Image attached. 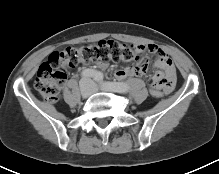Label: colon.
<instances>
[{
  "instance_id": "1",
  "label": "colon",
  "mask_w": 219,
  "mask_h": 174,
  "mask_svg": "<svg viewBox=\"0 0 219 174\" xmlns=\"http://www.w3.org/2000/svg\"><path fill=\"white\" fill-rule=\"evenodd\" d=\"M97 61L132 62L146 64L145 58L132 46L114 40H101L94 44L69 47L63 51L53 52L38 69L35 88L47 101L58 100L61 88L66 81L68 70L81 64ZM153 98L163 97L161 89L150 90Z\"/></svg>"
}]
</instances>
